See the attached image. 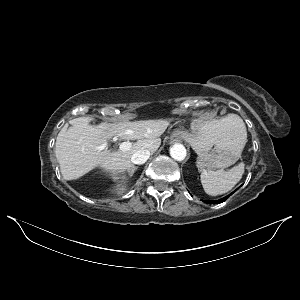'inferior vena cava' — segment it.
Instances as JSON below:
<instances>
[{
  "label": "inferior vena cava",
  "mask_w": 300,
  "mask_h": 300,
  "mask_svg": "<svg viewBox=\"0 0 300 300\" xmlns=\"http://www.w3.org/2000/svg\"><path fill=\"white\" fill-rule=\"evenodd\" d=\"M149 157H150V151L141 149V150L136 151L132 155L131 161L134 164H143L149 159Z\"/></svg>",
  "instance_id": "inferior-vena-cava-1"
}]
</instances>
